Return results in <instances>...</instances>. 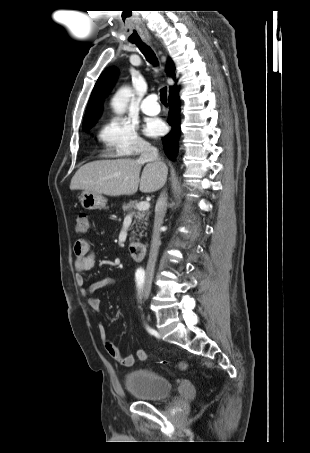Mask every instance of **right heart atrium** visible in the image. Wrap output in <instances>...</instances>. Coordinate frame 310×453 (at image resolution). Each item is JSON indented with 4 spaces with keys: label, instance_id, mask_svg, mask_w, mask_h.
Wrapping results in <instances>:
<instances>
[{
    "label": "right heart atrium",
    "instance_id": "obj_1",
    "mask_svg": "<svg viewBox=\"0 0 310 453\" xmlns=\"http://www.w3.org/2000/svg\"><path fill=\"white\" fill-rule=\"evenodd\" d=\"M104 154L109 157L133 156L148 146L137 126L128 119L113 117L106 120L99 132Z\"/></svg>",
    "mask_w": 310,
    "mask_h": 453
}]
</instances>
